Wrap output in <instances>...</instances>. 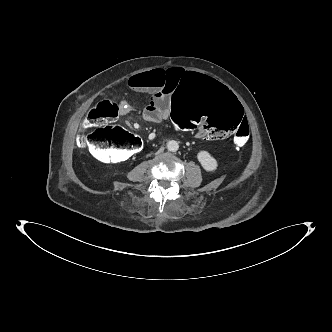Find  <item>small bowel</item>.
<instances>
[{"instance_id":"obj_1","label":"small bowel","mask_w":332,"mask_h":332,"mask_svg":"<svg viewBox=\"0 0 332 332\" xmlns=\"http://www.w3.org/2000/svg\"><path fill=\"white\" fill-rule=\"evenodd\" d=\"M183 77L184 71L179 68L152 69L136 74L128 80V84L133 91L149 93L152 96L151 101L143 111V118L147 122L159 123L170 118L172 96L177 84ZM131 111L130 104L125 101L120 103L119 112L121 115H127ZM195 137L198 139H214L205 137L200 133H196Z\"/></svg>"}]
</instances>
